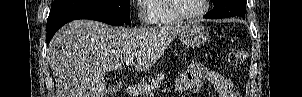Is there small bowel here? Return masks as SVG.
<instances>
[{"label": "small bowel", "instance_id": "c3829d8e", "mask_svg": "<svg viewBox=\"0 0 302 97\" xmlns=\"http://www.w3.org/2000/svg\"><path fill=\"white\" fill-rule=\"evenodd\" d=\"M204 83L213 85L216 97H237L232 82L226 76L201 64L190 65L175 81L174 90L177 93H197Z\"/></svg>", "mask_w": 302, "mask_h": 97}]
</instances>
